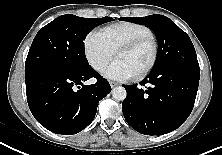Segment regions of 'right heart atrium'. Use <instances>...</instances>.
Here are the masks:
<instances>
[{
    "label": "right heart atrium",
    "mask_w": 222,
    "mask_h": 155,
    "mask_svg": "<svg viewBox=\"0 0 222 155\" xmlns=\"http://www.w3.org/2000/svg\"><path fill=\"white\" fill-rule=\"evenodd\" d=\"M84 52L89 64L98 72L105 68L115 54L99 31H91L85 37Z\"/></svg>",
    "instance_id": "right-heart-atrium-1"
}]
</instances>
